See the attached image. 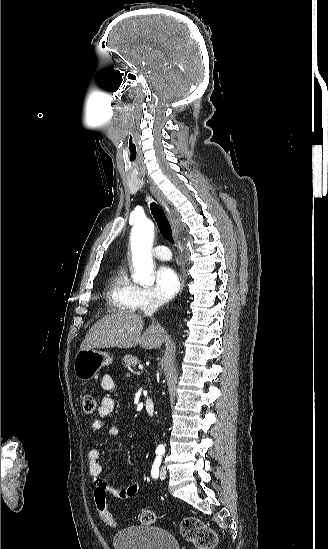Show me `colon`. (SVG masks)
<instances>
[{
    "label": "colon",
    "mask_w": 328,
    "mask_h": 549,
    "mask_svg": "<svg viewBox=\"0 0 328 549\" xmlns=\"http://www.w3.org/2000/svg\"><path fill=\"white\" fill-rule=\"evenodd\" d=\"M97 408L96 399L92 395L83 397V410L86 414H93ZM95 502L99 516L108 527H115L116 520L107 509L106 490L102 485L95 486ZM157 516L152 510H143L139 514V522L149 526L156 522ZM182 537L194 545L196 549H214L217 546L218 538L213 529L207 526L202 520L196 517H186L180 524Z\"/></svg>",
    "instance_id": "5ec220e1"
}]
</instances>
